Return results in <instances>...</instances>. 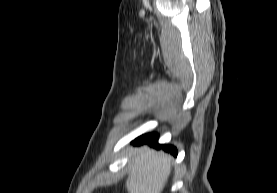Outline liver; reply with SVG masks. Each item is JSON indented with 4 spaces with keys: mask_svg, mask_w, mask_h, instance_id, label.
I'll return each mask as SVG.
<instances>
[{
    "mask_svg": "<svg viewBox=\"0 0 277 193\" xmlns=\"http://www.w3.org/2000/svg\"><path fill=\"white\" fill-rule=\"evenodd\" d=\"M172 157L146 146L135 151L126 180L128 193H161L171 173Z\"/></svg>",
    "mask_w": 277,
    "mask_h": 193,
    "instance_id": "1",
    "label": "liver"
}]
</instances>
